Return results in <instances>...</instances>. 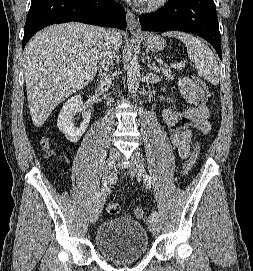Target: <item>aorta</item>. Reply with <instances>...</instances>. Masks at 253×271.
<instances>
[{
  "instance_id": "obj_1",
  "label": "aorta",
  "mask_w": 253,
  "mask_h": 271,
  "mask_svg": "<svg viewBox=\"0 0 253 271\" xmlns=\"http://www.w3.org/2000/svg\"><path fill=\"white\" fill-rule=\"evenodd\" d=\"M140 65L136 57H133L127 66V85L128 91L136 93L140 83Z\"/></svg>"
}]
</instances>
